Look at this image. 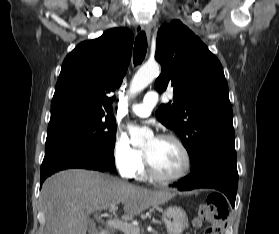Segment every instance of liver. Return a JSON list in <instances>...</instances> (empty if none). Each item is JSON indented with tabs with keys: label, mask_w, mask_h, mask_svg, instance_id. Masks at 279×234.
Returning <instances> with one entry per match:
<instances>
[{
	"label": "liver",
	"mask_w": 279,
	"mask_h": 234,
	"mask_svg": "<svg viewBox=\"0 0 279 234\" xmlns=\"http://www.w3.org/2000/svg\"><path fill=\"white\" fill-rule=\"evenodd\" d=\"M173 196L174 193L166 190L145 189L97 171H61L49 177L42 186L44 234H86L88 216L93 212L123 203L125 214L122 218L131 220Z\"/></svg>",
	"instance_id": "obj_1"
}]
</instances>
